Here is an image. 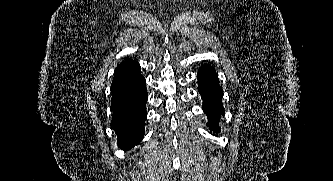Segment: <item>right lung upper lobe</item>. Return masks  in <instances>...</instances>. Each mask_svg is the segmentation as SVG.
Returning <instances> with one entry per match:
<instances>
[{
	"label": "right lung upper lobe",
	"instance_id": "right-lung-upper-lobe-1",
	"mask_svg": "<svg viewBox=\"0 0 333 181\" xmlns=\"http://www.w3.org/2000/svg\"><path fill=\"white\" fill-rule=\"evenodd\" d=\"M140 75V66L135 60L127 59L117 66L111 88L117 87Z\"/></svg>",
	"mask_w": 333,
	"mask_h": 181
}]
</instances>
